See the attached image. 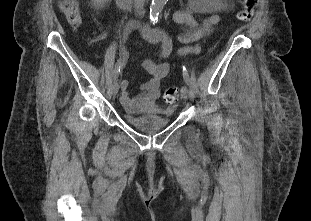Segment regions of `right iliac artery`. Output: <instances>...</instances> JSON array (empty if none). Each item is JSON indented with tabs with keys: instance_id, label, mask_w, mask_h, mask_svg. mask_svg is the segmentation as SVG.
Here are the masks:
<instances>
[{
	"instance_id": "82829eb1",
	"label": "right iliac artery",
	"mask_w": 311,
	"mask_h": 221,
	"mask_svg": "<svg viewBox=\"0 0 311 221\" xmlns=\"http://www.w3.org/2000/svg\"><path fill=\"white\" fill-rule=\"evenodd\" d=\"M121 66H122V62H121V59H119V60H117V63H116V65H115L114 72H113V78H114V80H117V79H118Z\"/></svg>"
}]
</instances>
